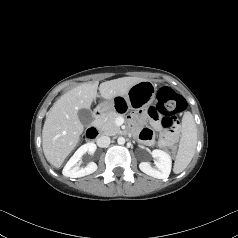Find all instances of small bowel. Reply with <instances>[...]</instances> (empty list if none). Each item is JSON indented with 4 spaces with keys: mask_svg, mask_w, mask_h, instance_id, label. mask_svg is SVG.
Segmentation results:
<instances>
[{
    "mask_svg": "<svg viewBox=\"0 0 238 238\" xmlns=\"http://www.w3.org/2000/svg\"><path fill=\"white\" fill-rule=\"evenodd\" d=\"M146 114L151 118V123L154 128L161 129L162 128V121L163 116L160 113H157V109L154 106H149L146 109ZM147 119V116L143 113L138 114L136 117L131 118L130 123L134 131L137 132L139 139L144 142L145 144L151 145L155 141V134L154 132L149 128H141V124H143ZM165 135V134H164ZM161 136L159 140V144L161 146V140L163 136ZM168 138L175 142L176 135H169Z\"/></svg>",
    "mask_w": 238,
    "mask_h": 238,
    "instance_id": "obj_1",
    "label": "small bowel"
}]
</instances>
